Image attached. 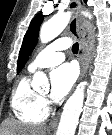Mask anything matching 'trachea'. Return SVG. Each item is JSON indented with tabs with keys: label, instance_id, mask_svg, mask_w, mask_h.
<instances>
[{
	"label": "trachea",
	"instance_id": "obj_1",
	"mask_svg": "<svg viewBox=\"0 0 112 135\" xmlns=\"http://www.w3.org/2000/svg\"><path fill=\"white\" fill-rule=\"evenodd\" d=\"M78 49H79L78 43H74L73 46H72V52L74 54H77L78 53Z\"/></svg>",
	"mask_w": 112,
	"mask_h": 135
}]
</instances>
